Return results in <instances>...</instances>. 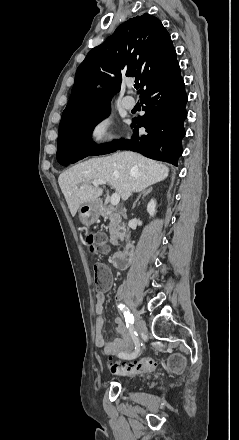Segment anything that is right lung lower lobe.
<instances>
[{"label": "right lung lower lobe", "instance_id": "right-lung-lower-lobe-1", "mask_svg": "<svg viewBox=\"0 0 239 440\" xmlns=\"http://www.w3.org/2000/svg\"><path fill=\"white\" fill-rule=\"evenodd\" d=\"M140 94L141 103L146 104L143 109L145 114L133 119L135 134L131 140L64 147L57 151V161L67 166L89 155L123 149L177 166L178 157L182 154L181 139L185 136L183 121L187 117L185 106L188 99L178 62L166 74L150 82ZM138 127H144L148 134L139 137Z\"/></svg>", "mask_w": 239, "mask_h": 440}]
</instances>
